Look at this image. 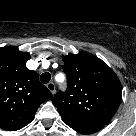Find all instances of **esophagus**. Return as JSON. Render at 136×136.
Masks as SVG:
<instances>
[{
	"instance_id": "1",
	"label": "esophagus",
	"mask_w": 136,
	"mask_h": 136,
	"mask_svg": "<svg viewBox=\"0 0 136 136\" xmlns=\"http://www.w3.org/2000/svg\"><path fill=\"white\" fill-rule=\"evenodd\" d=\"M46 86L52 94L55 93V84L53 82H49Z\"/></svg>"
}]
</instances>
